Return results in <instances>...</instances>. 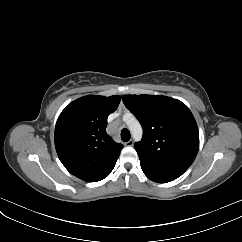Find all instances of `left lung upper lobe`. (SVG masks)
<instances>
[{
	"mask_svg": "<svg viewBox=\"0 0 242 242\" xmlns=\"http://www.w3.org/2000/svg\"><path fill=\"white\" fill-rule=\"evenodd\" d=\"M122 100L143 127L142 140L134 145L141 166L182 175L199 149V131L189 108L160 95H123Z\"/></svg>",
	"mask_w": 242,
	"mask_h": 242,
	"instance_id": "obj_1",
	"label": "left lung upper lobe"
}]
</instances>
